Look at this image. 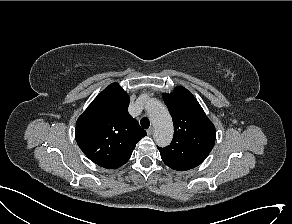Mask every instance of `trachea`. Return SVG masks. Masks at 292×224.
Wrapping results in <instances>:
<instances>
[{"label": "trachea", "mask_w": 292, "mask_h": 224, "mask_svg": "<svg viewBox=\"0 0 292 224\" xmlns=\"http://www.w3.org/2000/svg\"><path fill=\"white\" fill-rule=\"evenodd\" d=\"M140 124L144 129H147L150 126V121L148 118H142Z\"/></svg>", "instance_id": "1"}]
</instances>
